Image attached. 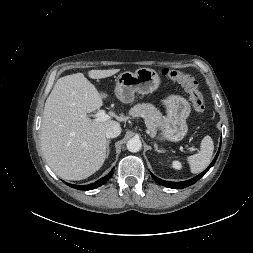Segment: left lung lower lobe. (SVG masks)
Segmentation results:
<instances>
[{"label":"left lung lower lobe","mask_w":253,"mask_h":253,"mask_svg":"<svg viewBox=\"0 0 253 253\" xmlns=\"http://www.w3.org/2000/svg\"><path fill=\"white\" fill-rule=\"evenodd\" d=\"M221 147V146H220ZM220 147H219V150L214 158V160L212 161V163L209 165V167L204 170L201 174L197 175L196 177L190 179V180H187V181H183V182H169V181H164V180H161L159 179L158 177L154 176L152 174V177L154 178V180L156 182H158L159 184L163 185V186H166V187H169V188H172V189H181V188H185V187H188L192 184H194L195 182H197L215 163L218 155H219V152H220Z\"/></svg>","instance_id":"1"}]
</instances>
